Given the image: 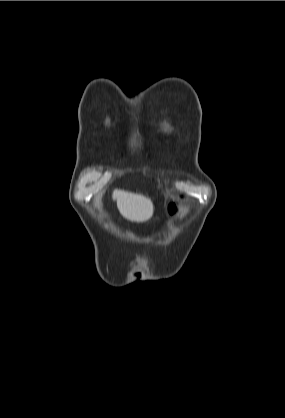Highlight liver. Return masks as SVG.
Here are the masks:
<instances>
[{
    "mask_svg": "<svg viewBox=\"0 0 285 418\" xmlns=\"http://www.w3.org/2000/svg\"><path fill=\"white\" fill-rule=\"evenodd\" d=\"M112 198L117 201L120 214L131 222H145L153 216L152 201L141 194L114 190Z\"/></svg>",
    "mask_w": 285,
    "mask_h": 418,
    "instance_id": "obj_1",
    "label": "liver"
}]
</instances>
